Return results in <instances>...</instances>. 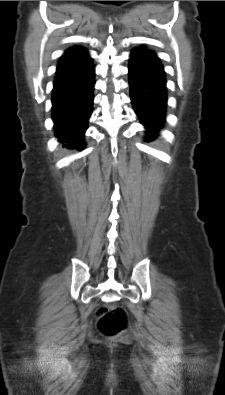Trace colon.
<instances>
[{
  "label": "colon",
  "instance_id": "obj_1",
  "mask_svg": "<svg viewBox=\"0 0 225 395\" xmlns=\"http://www.w3.org/2000/svg\"><path fill=\"white\" fill-rule=\"evenodd\" d=\"M97 327L102 335L115 338L129 326L127 311L118 305L100 307L96 311Z\"/></svg>",
  "mask_w": 225,
  "mask_h": 395
}]
</instances>
